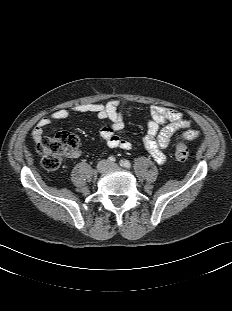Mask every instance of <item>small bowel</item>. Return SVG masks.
I'll return each mask as SVG.
<instances>
[{"label": "small bowel", "instance_id": "small-bowel-1", "mask_svg": "<svg viewBox=\"0 0 232 311\" xmlns=\"http://www.w3.org/2000/svg\"><path fill=\"white\" fill-rule=\"evenodd\" d=\"M126 106L125 101L113 99L106 103H85L71 108H60L39 119L31 135L38 143L44 138V128L53 121L66 119L73 113L93 114L111 122L109 125H104L100 132L107 146L130 150L133 148V143L119 136V132L124 128ZM178 130L182 131V139L185 141L195 140L199 135L198 131L191 128V122L185 119L180 111L159 105L150 107V119L147 123L143 145L157 163L165 162L164 150L174 142V135Z\"/></svg>", "mask_w": 232, "mask_h": 311}]
</instances>
